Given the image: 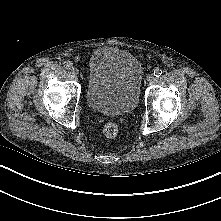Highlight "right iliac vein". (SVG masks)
<instances>
[{
    "instance_id": "63e3f726",
    "label": "right iliac vein",
    "mask_w": 221,
    "mask_h": 221,
    "mask_svg": "<svg viewBox=\"0 0 221 221\" xmlns=\"http://www.w3.org/2000/svg\"><path fill=\"white\" fill-rule=\"evenodd\" d=\"M71 73H72L73 75H78V74H79V70H78L76 67H73V68L71 69Z\"/></svg>"
}]
</instances>
